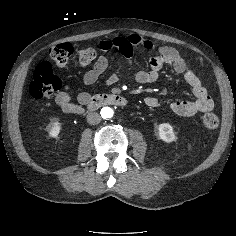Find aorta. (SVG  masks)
Listing matches in <instances>:
<instances>
[{"label": "aorta", "mask_w": 236, "mask_h": 236, "mask_svg": "<svg viewBox=\"0 0 236 236\" xmlns=\"http://www.w3.org/2000/svg\"><path fill=\"white\" fill-rule=\"evenodd\" d=\"M113 114H114V111L110 107H104V108L101 109V116L104 119L112 118Z\"/></svg>", "instance_id": "762f6f07"}]
</instances>
